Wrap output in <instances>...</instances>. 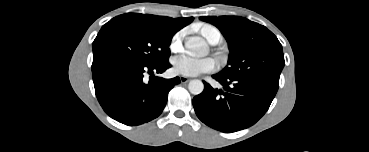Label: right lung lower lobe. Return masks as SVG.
I'll list each match as a JSON object with an SVG mask.
<instances>
[{
    "mask_svg": "<svg viewBox=\"0 0 369 152\" xmlns=\"http://www.w3.org/2000/svg\"><path fill=\"white\" fill-rule=\"evenodd\" d=\"M168 61L155 65L115 62L92 71L97 99L113 119L126 125H140L158 117L163 111L169 91L180 83L179 77L164 79ZM150 74L149 82L144 76Z\"/></svg>",
    "mask_w": 369,
    "mask_h": 152,
    "instance_id": "obj_1",
    "label": "right lung lower lobe"
}]
</instances>
